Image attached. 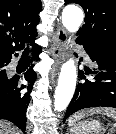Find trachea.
<instances>
[{
	"label": "trachea",
	"instance_id": "trachea-1",
	"mask_svg": "<svg viewBox=\"0 0 116 134\" xmlns=\"http://www.w3.org/2000/svg\"><path fill=\"white\" fill-rule=\"evenodd\" d=\"M29 51H30V50H29V47H27V48L25 49V51H24V54H25V55L29 54Z\"/></svg>",
	"mask_w": 116,
	"mask_h": 134
}]
</instances>
